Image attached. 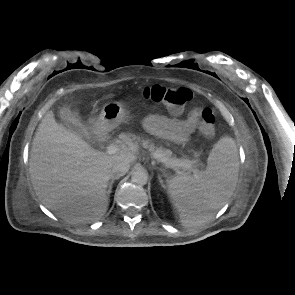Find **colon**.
<instances>
[{"mask_svg": "<svg viewBox=\"0 0 295 295\" xmlns=\"http://www.w3.org/2000/svg\"><path fill=\"white\" fill-rule=\"evenodd\" d=\"M142 96L146 100L166 106L174 114H179L186 103L192 99V92L187 88H168L161 85H151L142 90ZM199 130L206 136L214 134L215 115L211 109L206 108L202 110Z\"/></svg>", "mask_w": 295, "mask_h": 295, "instance_id": "5ec220e1", "label": "colon"}]
</instances>
